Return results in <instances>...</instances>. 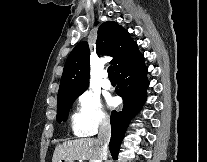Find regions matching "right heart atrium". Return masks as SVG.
Here are the masks:
<instances>
[{"label":"right heart atrium","instance_id":"right-heart-atrium-1","mask_svg":"<svg viewBox=\"0 0 207 162\" xmlns=\"http://www.w3.org/2000/svg\"><path fill=\"white\" fill-rule=\"evenodd\" d=\"M76 132L81 136H90L109 123L100 99L92 91L82 92L77 100Z\"/></svg>","mask_w":207,"mask_h":162}]
</instances>
